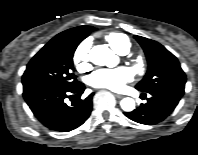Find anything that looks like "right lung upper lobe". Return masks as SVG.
I'll return each mask as SVG.
<instances>
[{"label": "right lung upper lobe", "instance_id": "right-lung-upper-lobe-1", "mask_svg": "<svg viewBox=\"0 0 198 155\" xmlns=\"http://www.w3.org/2000/svg\"><path fill=\"white\" fill-rule=\"evenodd\" d=\"M93 29L94 28L91 26H79V27H75L72 29H68V30L58 34L57 36H55V38L66 37V36H70V35H74V34L90 33V32H92Z\"/></svg>", "mask_w": 198, "mask_h": 155}]
</instances>
